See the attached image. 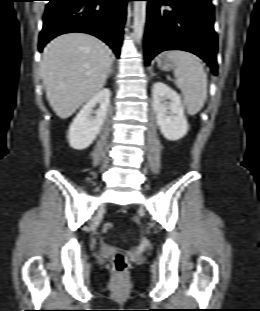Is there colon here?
<instances>
[{
	"label": "colon",
	"instance_id": "5ec220e1",
	"mask_svg": "<svg viewBox=\"0 0 260 311\" xmlns=\"http://www.w3.org/2000/svg\"><path fill=\"white\" fill-rule=\"evenodd\" d=\"M112 228L113 224L111 222H106L102 230L104 233H108ZM111 265L116 272L123 273L127 268L128 262L123 254L116 252L111 258Z\"/></svg>",
	"mask_w": 260,
	"mask_h": 311
}]
</instances>
